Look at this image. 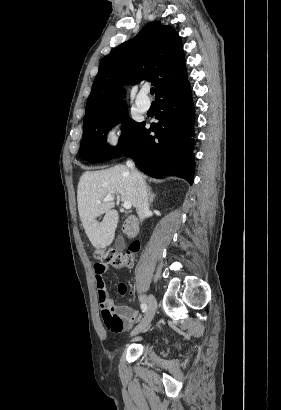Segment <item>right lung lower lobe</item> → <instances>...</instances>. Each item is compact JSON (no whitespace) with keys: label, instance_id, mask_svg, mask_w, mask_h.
<instances>
[{"label":"right lung lower lobe","instance_id":"obj_1","mask_svg":"<svg viewBox=\"0 0 281 410\" xmlns=\"http://www.w3.org/2000/svg\"><path fill=\"white\" fill-rule=\"evenodd\" d=\"M155 105L159 122L153 123L150 129H146L143 122L123 153L152 177L174 175L192 184L194 105L189 81L158 95Z\"/></svg>","mask_w":281,"mask_h":410}]
</instances>
